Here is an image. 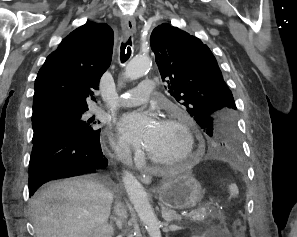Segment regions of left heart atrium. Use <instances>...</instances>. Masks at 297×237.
Returning <instances> with one entry per match:
<instances>
[{
    "label": "left heart atrium",
    "mask_w": 297,
    "mask_h": 237,
    "mask_svg": "<svg viewBox=\"0 0 297 237\" xmlns=\"http://www.w3.org/2000/svg\"><path fill=\"white\" fill-rule=\"evenodd\" d=\"M160 123L153 112L138 110L123 114L117 125L128 142L148 150L154 142Z\"/></svg>",
    "instance_id": "left-heart-atrium-1"
}]
</instances>
